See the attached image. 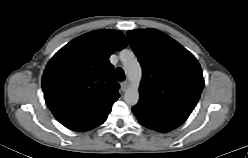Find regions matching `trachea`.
<instances>
[{
	"mask_svg": "<svg viewBox=\"0 0 248 158\" xmlns=\"http://www.w3.org/2000/svg\"><path fill=\"white\" fill-rule=\"evenodd\" d=\"M116 79L119 81V82H122L125 80V74H124V71L122 68H117L116 69Z\"/></svg>",
	"mask_w": 248,
	"mask_h": 158,
	"instance_id": "obj_1",
	"label": "trachea"
}]
</instances>
